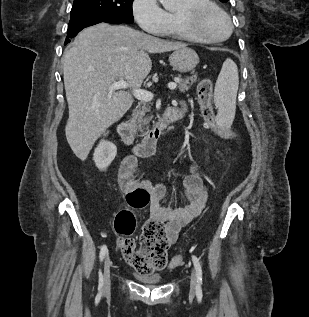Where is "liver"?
I'll use <instances>...</instances> for the list:
<instances>
[{"instance_id": "liver-1", "label": "liver", "mask_w": 309, "mask_h": 317, "mask_svg": "<svg viewBox=\"0 0 309 317\" xmlns=\"http://www.w3.org/2000/svg\"><path fill=\"white\" fill-rule=\"evenodd\" d=\"M184 47V43L107 23L78 34L65 51L63 78L69 108L65 134L79 159L84 161L101 134L132 106L129 91H110V86L123 78L133 91L140 89L152 68L149 53Z\"/></svg>"}]
</instances>
